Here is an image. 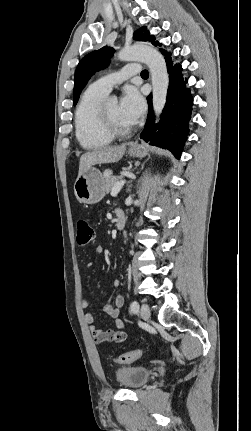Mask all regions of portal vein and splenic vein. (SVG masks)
<instances>
[{"label":"portal vein and splenic vein","instance_id":"18ae733b","mask_svg":"<svg viewBox=\"0 0 251 431\" xmlns=\"http://www.w3.org/2000/svg\"><path fill=\"white\" fill-rule=\"evenodd\" d=\"M125 180H120L118 182L115 183V185L113 186L112 190H111V196H116L121 188L123 187V185L125 184Z\"/></svg>","mask_w":251,"mask_h":431}]
</instances>
